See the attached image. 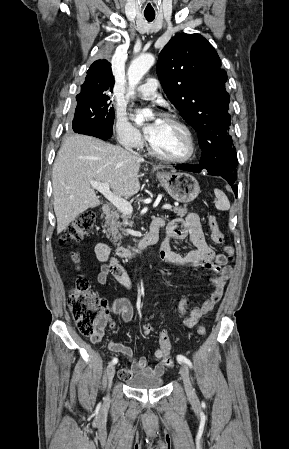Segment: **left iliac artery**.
I'll list each match as a JSON object with an SVG mask.
<instances>
[{
	"label": "left iliac artery",
	"mask_w": 289,
	"mask_h": 449,
	"mask_svg": "<svg viewBox=\"0 0 289 449\" xmlns=\"http://www.w3.org/2000/svg\"><path fill=\"white\" fill-rule=\"evenodd\" d=\"M177 360H178L179 362L186 363L189 367H192L191 361H190L187 357H185V356H183V355H178V356H177Z\"/></svg>",
	"instance_id": "obj_1"
}]
</instances>
